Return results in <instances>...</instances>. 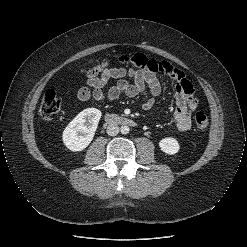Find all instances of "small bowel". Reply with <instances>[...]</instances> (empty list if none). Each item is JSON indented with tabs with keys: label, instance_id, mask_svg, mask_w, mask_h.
I'll use <instances>...</instances> for the list:
<instances>
[{
	"label": "small bowel",
	"instance_id": "small-bowel-1",
	"mask_svg": "<svg viewBox=\"0 0 247 247\" xmlns=\"http://www.w3.org/2000/svg\"><path fill=\"white\" fill-rule=\"evenodd\" d=\"M118 62L132 67L115 66L104 70L99 76L87 79V87L78 92V99L86 102L91 98L96 101H114L121 95L136 97L150 92V97L141 103L143 110H150L161 94V83L158 75L169 77L175 84L176 108L173 119L180 133H187L191 129V113L198 106V99L194 89L184 73L166 61L151 59L144 54L121 56ZM127 78L133 80L130 83ZM110 80H117L116 84L105 91Z\"/></svg>",
	"mask_w": 247,
	"mask_h": 247
}]
</instances>
